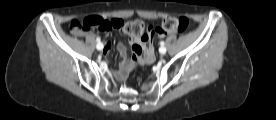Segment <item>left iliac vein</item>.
<instances>
[{"label": "left iliac vein", "instance_id": "obj_1", "mask_svg": "<svg viewBox=\"0 0 276 120\" xmlns=\"http://www.w3.org/2000/svg\"><path fill=\"white\" fill-rule=\"evenodd\" d=\"M161 54H165L166 53V48L165 47H160L159 49Z\"/></svg>", "mask_w": 276, "mask_h": 120}]
</instances>
